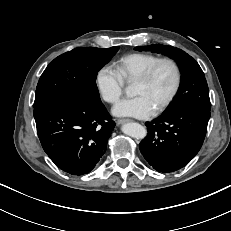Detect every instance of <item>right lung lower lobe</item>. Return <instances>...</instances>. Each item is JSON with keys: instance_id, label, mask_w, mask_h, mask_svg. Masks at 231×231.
I'll list each match as a JSON object with an SVG mask.
<instances>
[{"instance_id": "obj_1", "label": "right lung lower lobe", "mask_w": 231, "mask_h": 231, "mask_svg": "<svg viewBox=\"0 0 231 231\" xmlns=\"http://www.w3.org/2000/svg\"><path fill=\"white\" fill-rule=\"evenodd\" d=\"M34 118L44 151L72 175L95 167L115 126L102 102H53L35 108Z\"/></svg>"}]
</instances>
